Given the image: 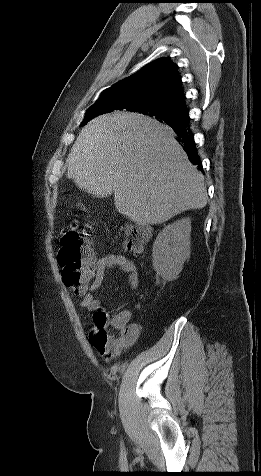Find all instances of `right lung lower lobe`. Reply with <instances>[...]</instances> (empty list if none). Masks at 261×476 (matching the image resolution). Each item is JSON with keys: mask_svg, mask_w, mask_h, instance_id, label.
<instances>
[{"mask_svg": "<svg viewBox=\"0 0 261 476\" xmlns=\"http://www.w3.org/2000/svg\"><path fill=\"white\" fill-rule=\"evenodd\" d=\"M189 114L186 111L184 117L179 122H174L168 124L171 128L174 129L176 135L179 138V142H181L185 152L187 153L190 161L194 165H198V168L202 171V167L200 164V158L196 151V146L194 142V136L189 128Z\"/></svg>", "mask_w": 261, "mask_h": 476, "instance_id": "obj_1", "label": "right lung lower lobe"}]
</instances>
